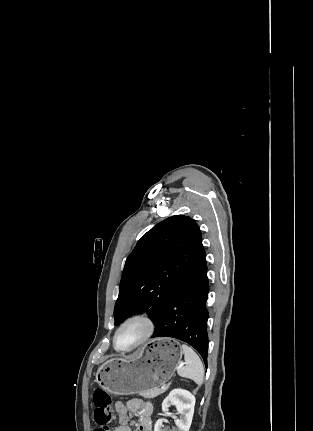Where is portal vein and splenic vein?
Wrapping results in <instances>:
<instances>
[{
	"label": "portal vein and splenic vein",
	"instance_id": "1",
	"mask_svg": "<svg viewBox=\"0 0 313 431\" xmlns=\"http://www.w3.org/2000/svg\"><path fill=\"white\" fill-rule=\"evenodd\" d=\"M182 366H183V364H180L178 368H181ZM162 388H164V387H162Z\"/></svg>",
	"mask_w": 313,
	"mask_h": 431
}]
</instances>
